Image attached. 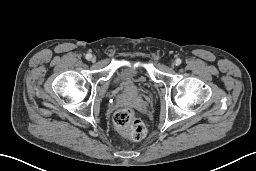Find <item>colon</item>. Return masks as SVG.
Returning <instances> with one entry per match:
<instances>
[{
    "mask_svg": "<svg viewBox=\"0 0 256 171\" xmlns=\"http://www.w3.org/2000/svg\"><path fill=\"white\" fill-rule=\"evenodd\" d=\"M116 127L134 141H141L145 138L147 129L145 124L135 115L130 108H123L114 115Z\"/></svg>",
    "mask_w": 256,
    "mask_h": 171,
    "instance_id": "colon-1",
    "label": "colon"
}]
</instances>
